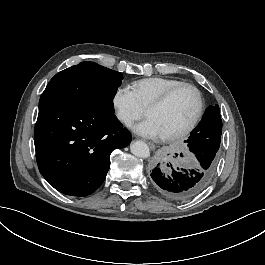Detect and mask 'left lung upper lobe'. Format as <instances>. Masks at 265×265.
<instances>
[{
  "mask_svg": "<svg viewBox=\"0 0 265 265\" xmlns=\"http://www.w3.org/2000/svg\"><path fill=\"white\" fill-rule=\"evenodd\" d=\"M222 133V120L220 116V109L218 105L209 106L198 124V126L191 132V135L196 134L198 139L208 141L210 144H220Z\"/></svg>",
  "mask_w": 265,
  "mask_h": 265,
  "instance_id": "5c2ea615",
  "label": "left lung upper lobe"
}]
</instances>
